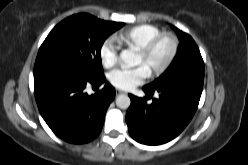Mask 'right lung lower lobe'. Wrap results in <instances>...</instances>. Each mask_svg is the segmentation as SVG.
Here are the masks:
<instances>
[{
	"instance_id": "right-lung-lower-lobe-1",
	"label": "right lung lower lobe",
	"mask_w": 248,
	"mask_h": 165,
	"mask_svg": "<svg viewBox=\"0 0 248 165\" xmlns=\"http://www.w3.org/2000/svg\"><path fill=\"white\" fill-rule=\"evenodd\" d=\"M105 84L95 94L84 89ZM34 92L39 111L50 129L61 139L75 144L96 138L103 127L115 89L105 76L89 79L71 68L59 67L34 75Z\"/></svg>"
}]
</instances>
